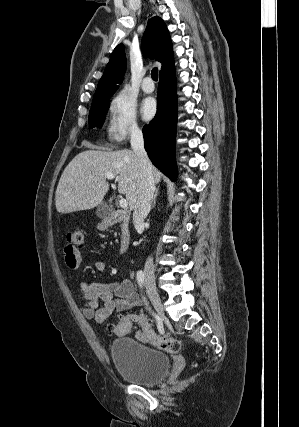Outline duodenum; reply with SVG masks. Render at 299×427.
<instances>
[{"label":"duodenum","instance_id":"duodenum-1","mask_svg":"<svg viewBox=\"0 0 299 427\" xmlns=\"http://www.w3.org/2000/svg\"><path fill=\"white\" fill-rule=\"evenodd\" d=\"M129 219H130V213L128 211L116 210L111 214L108 220V224L115 225L120 223L123 226H125L129 222ZM128 248H129V237L127 233L123 231L120 237L119 254L124 255L127 252Z\"/></svg>","mask_w":299,"mask_h":427}]
</instances>
